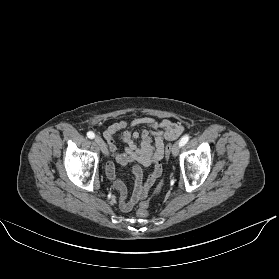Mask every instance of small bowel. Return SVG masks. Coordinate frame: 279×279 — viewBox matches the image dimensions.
Returning a JSON list of instances; mask_svg holds the SVG:
<instances>
[{
	"label": "small bowel",
	"mask_w": 279,
	"mask_h": 279,
	"mask_svg": "<svg viewBox=\"0 0 279 279\" xmlns=\"http://www.w3.org/2000/svg\"><path fill=\"white\" fill-rule=\"evenodd\" d=\"M140 125L146 126L148 129L142 133L133 130ZM182 132L181 125L169 119L158 122L153 117H137L129 123L125 120H119L104 132L112 157L118 164L125 166L130 162H138L147 167L152 166V170L144 182L141 167L136 165L132 168L136 177V186L133 195L128 199L127 186L118 175L114 163L110 161L106 164V174L113 181L120 194L119 206L121 210H132L140 200L147 196L162 171L165 141L178 138ZM116 134H119L125 143L122 152L118 151ZM138 139H140V143H138Z\"/></svg>",
	"instance_id": "1"
}]
</instances>
